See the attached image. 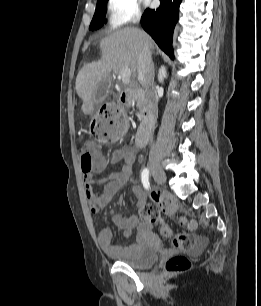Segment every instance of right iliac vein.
I'll use <instances>...</instances> for the list:
<instances>
[{
  "instance_id": "63e3f726",
  "label": "right iliac vein",
  "mask_w": 261,
  "mask_h": 306,
  "mask_svg": "<svg viewBox=\"0 0 261 306\" xmlns=\"http://www.w3.org/2000/svg\"><path fill=\"white\" fill-rule=\"evenodd\" d=\"M150 170L152 173V176L156 180L158 184H164L166 182V175L164 171L156 164H152L150 166Z\"/></svg>"
}]
</instances>
